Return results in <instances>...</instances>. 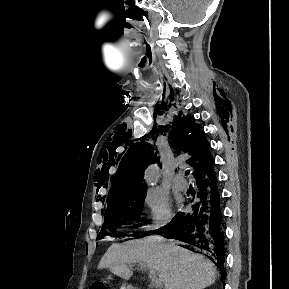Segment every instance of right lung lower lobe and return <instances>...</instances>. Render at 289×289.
<instances>
[{
    "label": "right lung lower lobe",
    "mask_w": 289,
    "mask_h": 289,
    "mask_svg": "<svg viewBox=\"0 0 289 289\" xmlns=\"http://www.w3.org/2000/svg\"><path fill=\"white\" fill-rule=\"evenodd\" d=\"M197 199L189 212H179L173 220L147 235L158 233L169 239L186 242L192 251L206 253L220 269L221 281L225 284L224 260L226 241L222 219L220 196L214 171L196 180ZM145 235V236H147Z\"/></svg>",
    "instance_id": "98d812e1"
}]
</instances>
